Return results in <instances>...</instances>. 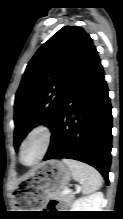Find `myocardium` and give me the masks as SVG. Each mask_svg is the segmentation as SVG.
I'll return each instance as SVG.
<instances>
[{
  "mask_svg": "<svg viewBox=\"0 0 123 219\" xmlns=\"http://www.w3.org/2000/svg\"><path fill=\"white\" fill-rule=\"evenodd\" d=\"M38 138L41 143V152L38 158L32 163H25L22 158L23 149L25 145L32 139ZM52 141V131L49 126L43 123H38L34 125L28 133L25 135L23 140L21 141L20 148H19V160L23 165L26 166H34L38 164L47 154L50 144Z\"/></svg>",
  "mask_w": 123,
  "mask_h": 219,
  "instance_id": "1",
  "label": "myocardium"
}]
</instances>
